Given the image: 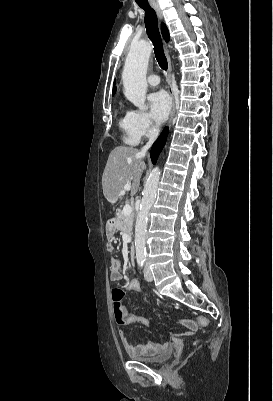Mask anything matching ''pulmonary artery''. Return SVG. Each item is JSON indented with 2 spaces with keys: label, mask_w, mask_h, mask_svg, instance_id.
<instances>
[{
  "label": "pulmonary artery",
  "mask_w": 273,
  "mask_h": 401,
  "mask_svg": "<svg viewBox=\"0 0 273 401\" xmlns=\"http://www.w3.org/2000/svg\"><path fill=\"white\" fill-rule=\"evenodd\" d=\"M149 80L151 82V86L153 88H156L158 86V82L160 80V77H159L158 74H151L150 77H149Z\"/></svg>",
  "instance_id": "obj_1"
}]
</instances>
